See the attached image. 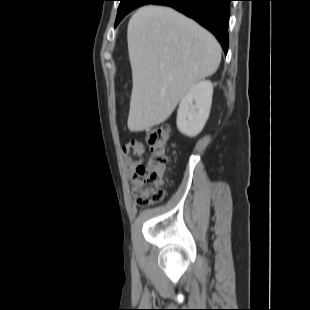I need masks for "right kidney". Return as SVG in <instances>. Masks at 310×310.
Here are the masks:
<instances>
[{
  "instance_id": "ca27d5eb",
  "label": "right kidney",
  "mask_w": 310,
  "mask_h": 310,
  "mask_svg": "<svg viewBox=\"0 0 310 310\" xmlns=\"http://www.w3.org/2000/svg\"><path fill=\"white\" fill-rule=\"evenodd\" d=\"M213 95L211 81L193 85L181 99L177 112V128L189 137L198 135L209 117Z\"/></svg>"
}]
</instances>
